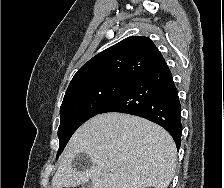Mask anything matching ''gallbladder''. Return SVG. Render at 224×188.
<instances>
[{
	"instance_id": "1",
	"label": "gallbladder",
	"mask_w": 224,
	"mask_h": 188,
	"mask_svg": "<svg viewBox=\"0 0 224 188\" xmlns=\"http://www.w3.org/2000/svg\"><path fill=\"white\" fill-rule=\"evenodd\" d=\"M82 188H92V182L91 181L84 182Z\"/></svg>"
}]
</instances>
